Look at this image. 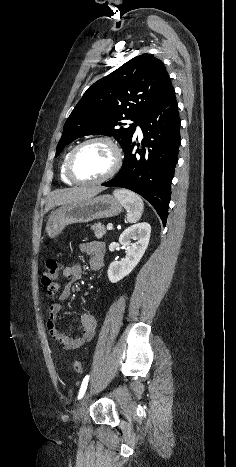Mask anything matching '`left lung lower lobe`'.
I'll return each instance as SVG.
<instances>
[{
    "instance_id": "1",
    "label": "left lung lower lobe",
    "mask_w": 236,
    "mask_h": 467,
    "mask_svg": "<svg viewBox=\"0 0 236 467\" xmlns=\"http://www.w3.org/2000/svg\"><path fill=\"white\" fill-rule=\"evenodd\" d=\"M138 124L144 135L141 148L133 152L136 142L131 139L123 148L125 157L119 173L102 185L138 193L156 209L165 226L181 143V120L173 87Z\"/></svg>"
}]
</instances>
